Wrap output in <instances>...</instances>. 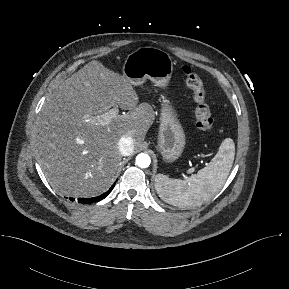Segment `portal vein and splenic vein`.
<instances>
[{
	"label": "portal vein and splenic vein",
	"mask_w": 289,
	"mask_h": 289,
	"mask_svg": "<svg viewBox=\"0 0 289 289\" xmlns=\"http://www.w3.org/2000/svg\"><path fill=\"white\" fill-rule=\"evenodd\" d=\"M118 112L119 109L117 107H114L111 110L107 111L106 113L94 117L93 121L94 123L99 125H106L118 115Z\"/></svg>",
	"instance_id": "portal-vein-and-splenic-vein-1"
}]
</instances>
